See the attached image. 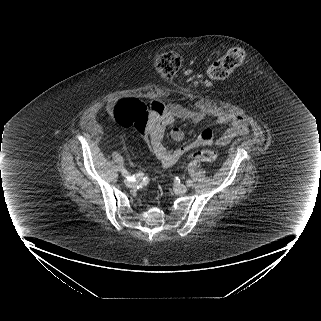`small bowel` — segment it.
<instances>
[{
  "instance_id": "small-bowel-1",
  "label": "small bowel",
  "mask_w": 321,
  "mask_h": 321,
  "mask_svg": "<svg viewBox=\"0 0 321 321\" xmlns=\"http://www.w3.org/2000/svg\"><path fill=\"white\" fill-rule=\"evenodd\" d=\"M112 106L113 102H110L108 105L109 110L112 109ZM205 117L206 113L203 110H192L185 106L166 104L159 100L153 101L150 104L146 133L150 138L152 153L162 166L166 168L172 167L186 152L197 145H226L248 131L247 122L242 116L219 112L215 116L216 122L220 125L229 126L224 133L215 136L211 129H205L200 133L196 141L188 145L177 149H168L165 146L163 142L165 129L176 119L189 120L197 124L201 123ZM170 136L174 141H181L184 139L185 134L182 129L173 128ZM207 139H212V141L207 143Z\"/></svg>"
}]
</instances>
